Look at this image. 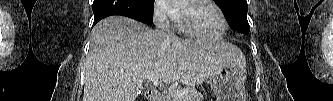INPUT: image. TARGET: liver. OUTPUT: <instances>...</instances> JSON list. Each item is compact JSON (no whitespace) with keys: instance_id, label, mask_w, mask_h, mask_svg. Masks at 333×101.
<instances>
[{"instance_id":"6515ba94","label":"liver","mask_w":333,"mask_h":101,"mask_svg":"<svg viewBox=\"0 0 333 101\" xmlns=\"http://www.w3.org/2000/svg\"><path fill=\"white\" fill-rule=\"evenodd\" d=\"M238 48L224 42L180 39L123 16L92 30L83 101H135L148 76L200 85L236 61Z\"/></svg>"}]
</instances>
